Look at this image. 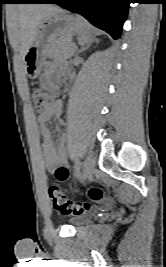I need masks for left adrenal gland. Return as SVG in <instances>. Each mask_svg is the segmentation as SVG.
Listing matches in <instances>:
<instances>
[{"instance_id":"1","label":"left adrenal gland","mask_w":166,"mask_h":267,"mask_svg":"<svg viewBox=\"0 0 166 267\" xmlns=\"http://www.w3.org/2000/svg\"><path fill=\"white\" fill-rule=\"evenodd\" d=\"M90 45H87L86 47H82L80 50L77 51V55L85 50H87L89 48Z\"/></svg>"}]
</instances>
